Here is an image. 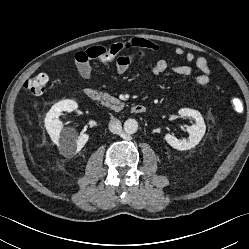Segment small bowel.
Segmentation results:
<instances>
[{"label": "small bowel", "mask_w": 249, "mask_h": 249, "mask_svg": "<svg viewBox=\"0 0 249 249\" xmlns=\"http://www.w3.org/2000/svg\"><path fill=\"white\" fill-rule=\"evenodd\" d=\"M123 45H130L132 48L140 49L139 54H142L145 51L158 52L160 49L157 44L143 39L132 40L124 43ZM101 49L102 47H94L75 55L76 68L82 78L89 79L92 74V67L90 64L91 59L89 58V54L92 50L99 51ZM175 54L177 56H183L188 63H194L195 68L187 64L170 67L166 60H159L152 67L151 71L153 75L157 76L167 71H171L172 73L180 76H191L195 74L196 70H198L200 73L195 77L196 83L199 86H206L209 83L211 69L207 60L203 56H195L192 52H185V50L181 47H177L175 49ZM133 60L134 55L131 53H122L118 55L115 62L116 71L119 74L125 73L130 68Z\"/></svg>", "instance_id": "small-bowel-1"}]
</instances>
